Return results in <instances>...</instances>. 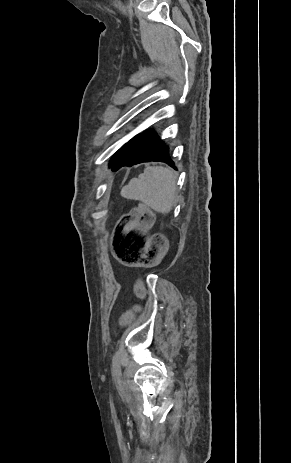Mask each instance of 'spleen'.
Listing matches in <instances>:
<instances>
[{
    "label": "spleen",
    "instance_id": "spleen-1",
    "mask_svg": "<svg viewBox=\"0 0 291 463\" xmlns=\"http://www.w3.org/2000/svg\"><path fill=\"white\" fill-rule=\"evenodd\" d=\"M176 180L170 168L149 166L122 188L121 196L139 200L155 212L168 214L176 198Z\"/></svg>",
    "mask_w": 291,
    "mask_h": 463
}]
</instances>
